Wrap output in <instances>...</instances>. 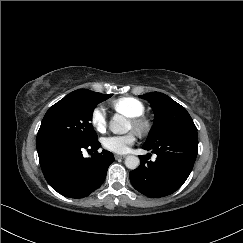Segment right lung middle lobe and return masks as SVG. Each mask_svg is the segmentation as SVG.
<instances>
[{"instance_id":"right-lung-middle-lobe-1","label":"right lung middle lobe","mask_w":243,"mask_h":243,"mask_svg":"<svg viewBox=\"0 0 243 243\" xmlns=\"http://www.w3.org/2000/svg\"><path fill=\"white\" fill-rule=\"evenodd\" d=\"M112 94L87 91L72 92L54 104L45 114L36 144L50 140H67L87 144L97 140L91 120L95 106Z\"/></svg>"}]
</instances>
